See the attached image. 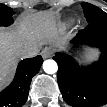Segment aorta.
Instances as JSON below:
<instances>
[{"label":"aorta","instance_id":"obj_1","mask_svg":"<svg viewBox=\"0 0 107 107\" xmlns=\"http://www.w3.org/2000/svg\"><path fill=\"white\" fill-rule=\"evenodd\" d=\"M43 70L47 74H54L58 70V65L54 60L48 59L43 62Z\"/></svg>","mask_w":107,"mask_h":107}]
</instances>
